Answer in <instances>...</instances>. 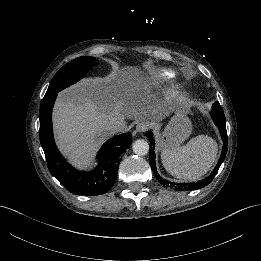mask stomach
<instances>
[{
  "mask_svg": "<svg viewBox=\"0 0 261 261\" xmlns=\"http://www.w3.org/2000/svg\"><path fill=\"white\" fill-rule=\"evenodd\" d=\"M172 102L183 109L171 120L166 130L160 135L159 149L163 152L175 148L190 134L191 130L190 121L186 115L187 109H185L189 104L188 101L181 95H175Z\"/></svg>",
  "mask_w": 261,
  "mask_h": 261,
  "instance_id": "0dacf381",
  "label": "stomach"
}]
</instances>
